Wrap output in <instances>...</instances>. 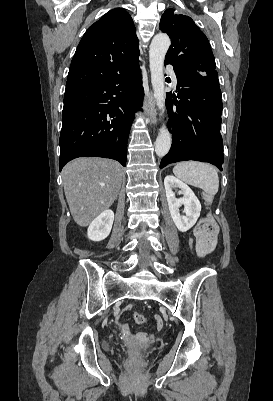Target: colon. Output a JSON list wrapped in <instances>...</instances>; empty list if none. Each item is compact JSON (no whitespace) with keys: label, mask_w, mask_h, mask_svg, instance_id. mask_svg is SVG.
<instances>
[{"label":"colon","mask_w":273,"mask_h":401,"mask_svg":"<svg viewBox=\"0 0 273 401\" xmlns=\"http://www.w3.org/2000/svg\"><path fill=\"white\" fill-rule=\"evenodd\" d=\"M200 227L206 232H199L198 239L199 241H216L218 235L216 233L217 226L214 220L210 217H207L200 222ZM135 321L138 324L143 323L145 315L143 312H136L134 315Z\"/></svg>","instance_id":"obj_1"}]
</instances>
